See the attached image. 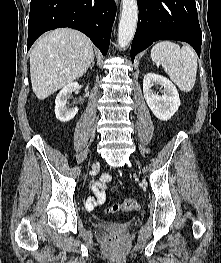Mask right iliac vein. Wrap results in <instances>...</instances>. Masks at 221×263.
I'll list each match as a JSON object with an SVG mask.
<instances>
[{
  "label": "right iliac vein",
  "mask_w": 221,
  "mask_h": 263,
  "mask_svg": "<svg viewBox=\"0 0 221 263\" xmlns=\"http://www.w3.org/2000/svg\"><path fill=\"white\" fill-rule=\"evenodd\" d=\"M97 169H98V162L95 161V162H93V164H92V171H96Z\"/></svg>",
  "instance_id": "obj_1"
}]
</instances>
